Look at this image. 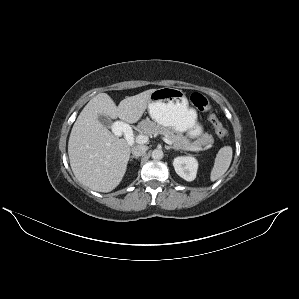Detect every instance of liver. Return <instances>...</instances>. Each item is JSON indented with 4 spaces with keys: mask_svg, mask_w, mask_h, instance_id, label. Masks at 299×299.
Listing matches in <instances>:
<instances>
[{
    "mask_svg": "<svg viewBox=\"0 0 299 299\" xmlns=\"http://www.w3.org/2000/svg\"><path fill=\"white\" fill-rule=\"evenodd\" d=\"M155 89L126 97L118 106L106 93H99L83 108L68 142L70 166L80 183L98 192H110L121 182L131 148L99 120V115L135 123L147 108Z\"/></svg>",
    "mask_w": 299,
    "mask_h": 299,
    "instance_id": "1",
    "label": "liver"
}]
</instances>
